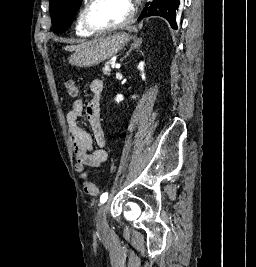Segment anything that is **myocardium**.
Returning a JSON list of instances; mask_svg holds the SVG:
<instances>
[{
	"mask_svg": "<svg viewBox=\"0 0 256 267\" xmlns=\"http://www.w3.org/2000/svg\"><path fill=\"white\" fill-rule=\"evenodd\" d=\"M99 0H90L89 5L87 6V8L85 9V11L83 12L82 15V22L84 27L95 34H105V33H110V32H114L120 29L125 28L127 25L131 24L134 21V16H135V8L134 6L128 2V0H115V1H120L125 3L126 5H128V7L130 8V17L127 21L125 22H120L114 25H110V26H106V27H98L95 24H93L88 16L89 10L91 8V6L97 2Z\"/></svg>",
	"mask_w": 256,
	"mask_h": 267,
	"instance_id": "myocardium-1",
	"label": "myocardium"
}]
</instances>
